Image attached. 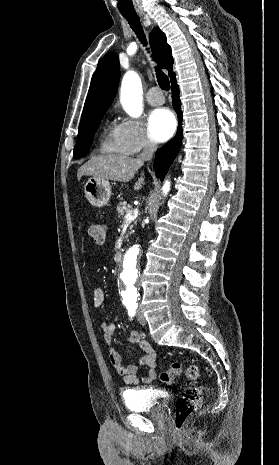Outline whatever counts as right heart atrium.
<instances>
[{
  "label": "right heart atrium",
  "instance_id": "1",
  "mask_svg": "<svg viewBox=\"0 0 279 465\" xmlns=\"http://www.w3.org/2000/svg\"><path fill=\"white\" fill-rule=\"evenodd\" d=\"M117 135L129 154L155 148L154 140L147 134L140 121L124 118L116 127Z\"/></svg>",
  "mask_w": 279,
  "mask_h": 465
}]
</instances>
